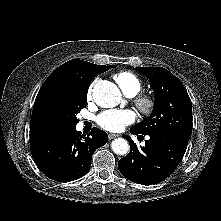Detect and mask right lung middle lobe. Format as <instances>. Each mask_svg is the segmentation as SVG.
<instances>
[{"label": "right lung middle lobe", "mask_w": 221, "mask_h": 221, "mask_svg": "<svg viewBox=\"0 0 221 221\" xmlns=\"http://www.w3.org/2000/svg\"><path fill=\"white\" fill-rule=\"evenodd\" d=\"M115 67V65H111ZM87 105V93L60 92L55 94L44 109L43 121L49 132L76 126V115Z\"/></svg>", "instance_id": "obj_1"}]
</instances>
